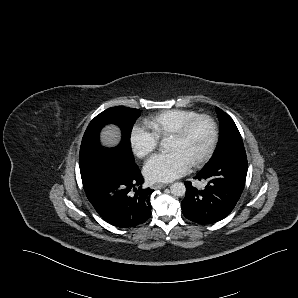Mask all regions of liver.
Returning <instances> with one entry per match:
<instances>
[{"mask_svg": "<svg viewBox=\"0 0 298 298\" xmlns=\"http://www.w3.org/2000/svg\"><path fill=\"white\" fill-rule=\"evenodd\" d=\"M122 140V129L116 123H106L99 130L98 144L101 148L115 149Z\"/></svg>", "mask_w": 298, "mask_h": 298, "instance_id": "liver-1", "label": "liver"}]
</instances>
